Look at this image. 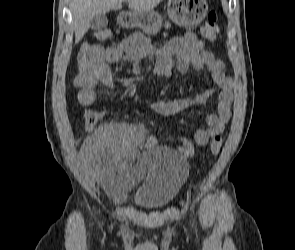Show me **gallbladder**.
<instances>
[{
  "mask_svg": "<svg viewBox=\"0 0 295 250\" xmlns=\"http://www.w3.org/2000/svg\"><path fill=\"white\" fill-rule=\"evenodd\" d=\"M108 24V19L105 14L94 16L90 21V27L93 30H103Z\"/></svg>",
  "mask_w": 295,
  "mask_h": 250,
  "instance_id": "bac80fb5",
  "label": "gallbladder"
}]
</instances>
